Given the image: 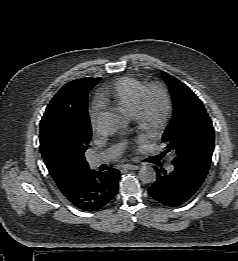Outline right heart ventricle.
<instances>
[{
    "instance_id": "e07e8e85",
    "label": "right heart ventricle",
    "mask_w": 238,
    "mask_h": 261,
    "mask_svg": "<svg viewBox=\"0 0 238 261\" xmlns=\"http://www.w3.org/2000/svg\"><path fill=\"white\" fill-rule=\"evenodd\" d=\"M144 87L145 82L141 79L131 76L122 77L100 94L99 101L101 104H112L125 114L133 116Z\"/></svg>"
}]
</instances>
